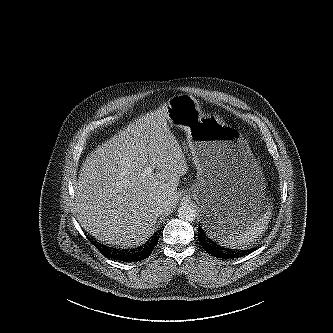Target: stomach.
<instances>
[{
	"instance_id": "obj_1",
	"label": "stomach",
	"mask_w": 333,
	"mask_h": 333,
	"mask_svg": "<svg viewBox=\"0 0 333 333\" xmlns=\"http://www.w3.org/2000/svg\"><path fill=\"white\" fill-rule=\"evenodd\" d=\"M167 120L183 128L197 168L191 191L210 234L220 241L262 221L270 207L259 162L241 133L203 113L192 95L169 99Z\"/></svg>"
}]
</instances>
